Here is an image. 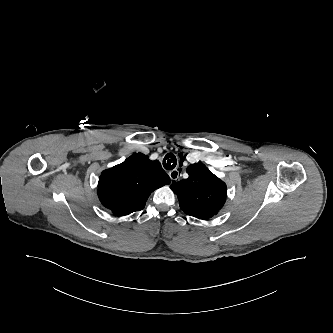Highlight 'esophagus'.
I'll use <instances>...</instances> for the list:
<instances>
[{
	"mask_svg": "<svg viewBox=\"0 0 333 333\" xmlns=\"http://www.w3.org/2000/svg\"><path fill=\"white\" fill-rule=\"evenodd\" d=\"M169 176H170V179H171L172 182L179 181L180 178H181V173L179 171V168L170 171Z\"/></svg>",
	"mask_w": 333,
	"mask_h": 333,
	"instance_id": "1",
	"label": "esophagus"
}]
</instances>
